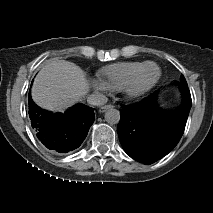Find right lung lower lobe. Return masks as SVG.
Returning <instances> with one entry per match:
<instances>
[{
    "mask_svg": "<svg viewBox=\"0 0 213 213\" xmlns=\"http://www.w3.org/2000/svg\"><path fill=\"white\" fill-rule=\"evenodd\" d=\"M29 117L34 132L49 149L67 153L79 147L94 121V109L77 104L64 113H52L37 106L29 93Z\"/></svg>",
    "mask_w": 213,
    "mask_h": 213,
    "instance_id": "98d812e1",
    "label": "right lung lower lobe"
}]
</instances>
